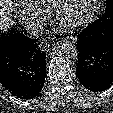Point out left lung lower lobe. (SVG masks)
Wrapping results in <instances>:
<instances>
[{
  "mask_svg": "<svg viewBox=\"0 0 113 113\" xmlns=\"http://www.w3.org/2000/svg\"><path fill=\"white\" fill-rule=\"evenodd\" d=\"M76 75L88 90L113 85V19L95 21L78 35Z\"/></svg>",
  "mask_w": 113,
  "mask_h": 113,
  "instance_id": "obj_1",
  "label": "left lung lower lobe"
}]
</instances>
